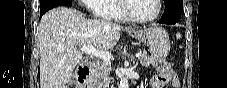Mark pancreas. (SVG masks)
I'll return each mask as SVG.
<instances>
[{
    "label": "pancreas",
    "instance_id": "1",
    "mask_svg": "<svg viewBox=\"0 0 227 88\" xmlns=\"http://www.w3.org/2000/svg\"><path fill=\"white\" fill-rule=\"evenodd\" d=\"M141 56L139 57L140 63L143 66H156L160 63H166L161 58H157L154 56H149L145 50L140 51ZM110 63L107 61H103L100 65H98L93 72L91 73L88 84L90 86L102 85L103 81H108L109 73H110Z\"/></svg>",
    "mask_w": 227,
    "mask_h": 88
}]
</instances>
